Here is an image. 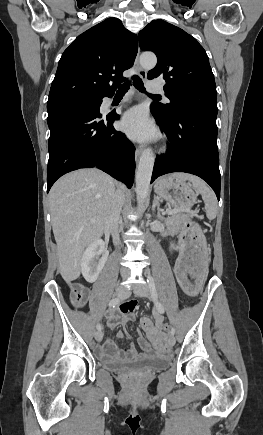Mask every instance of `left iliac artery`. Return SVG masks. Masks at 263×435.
<instances>
[{
  "label": "left iliac artery",
  "instance_id": "obj_1",
  "mask_svg": "<svg viewBox=\"0 0 263 435\" xmlns=\"http://www.w3.org/2000/svg\"><path fill=\"white\" fill-rule=\"evenodd\" d=\"M147 282H148V285H149V288H150V292H151L154 304H155L158 312L164 313V307H163V305L158 300L155 283H154V280H153L151 275L147 276ZM170 333H171V335L175 334V329L173 327L171 328Z\"/></svg>",
  "mask_w": 263,
  "mask_h": 435
}]
</instances>
